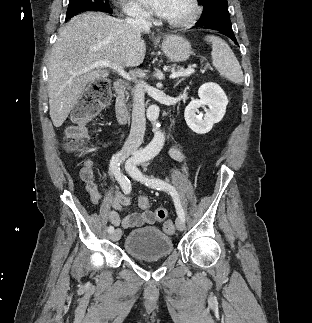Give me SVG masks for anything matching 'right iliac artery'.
<instances>
[{"instance_id":"obj_1","label":"right iliac artery","mask_w":312,"mask_h":323,"mask_svg":"<svg viewBox=\"0 0 312 323\" xmlns=\"http://www.w3.org/2000/svg\"><path fill=\"white\" fill-rule=\"evenodd\" d=\"M122 155V153H118L116 155H114L111 159V163H110V167H111V170L112 172L114 173L115 177L117 178V180L119 181L120 183V186L123 190V192L125 194H129L130 191H131V183H130V180L122 175L120 173V168H119V158L120 156ZM138 158H130L127 162H126V169L127 170H131L133 168H135L136 166V161H137ZM114 231V227L113 226H109L108 227V233H112Z\"/></svg>"}]
</instances>
